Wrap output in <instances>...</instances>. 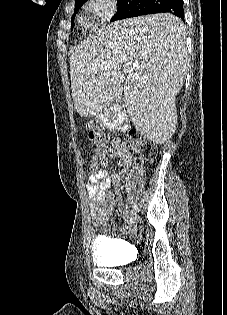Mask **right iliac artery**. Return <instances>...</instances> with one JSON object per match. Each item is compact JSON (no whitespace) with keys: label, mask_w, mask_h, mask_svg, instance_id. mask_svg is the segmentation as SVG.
<instances>
[{"label":"right iliac artery","mask_w":227,"mask_h":315,"mask_svg":"<svg viewBox=\"0 0 227 315\" xmlns=\"http://www.w3.org/2000/svg\"><path fill=\"white\" fill-rule=\"evenodd\" d=\"M137 211H138V206H137V205H134L133 208H132V210H131V212H130V214H134V213H136Z\"/></svg>","instance_id":"obj_1"}]
</instances>
